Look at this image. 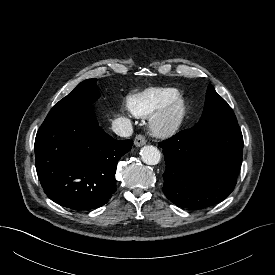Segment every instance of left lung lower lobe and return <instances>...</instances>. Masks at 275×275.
Returning a JSON list of instances; mask_svg holds the SVG:
<instances>
[{"label":"left lung lower lobe","instance_id":"1","mask_svg":"<svg viewBox=\"0 0 275 275\" xmlns=\"http://www.w3.org/2000/svg\"><path fill=\"white\" fill-rule=\"evenodd\" d=\"M166 170L163 191L179 207L202 209L234 190L242 163L241 130H207L200 123L159 142Z\"/></svg>","mask_w":275,"mask_h":275}]
</instances>
